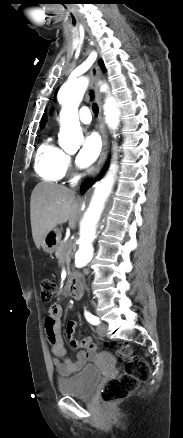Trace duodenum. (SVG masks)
<instances>
[{"mask_svg": "<svg viewBox=\"0 0 183 438\" xmlns=\"http://www.w3.org/2000/svg\"><path fill=\"white\" fill-rule=\"evenodd\" d=\"M68 292L75 299L79 300L82 296V280L79 276L71 277L68 284Z\"/></svg>", "mask_w": 183, "mask_h": 438, "instance_id": "obj_1", "label": "duodenum"}]
</instances>
